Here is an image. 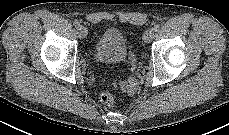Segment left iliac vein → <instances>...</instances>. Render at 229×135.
Instances as JSON below:
<instances>
[{"label":"left iliac vein","instance_id":"4c4485c4","mask_svg":"<svg viewBox=\"0 0 229 135\" xmlns=\"http://www.w3.org/2000/svg\"><path fill=\"white\" fill-rule=\"evenodd\" d=\"M154 37L153 29H147L143 34V40L145 43H150Z\"/></svg>","mask_w":229,"mask_h":135}]
</instances>
